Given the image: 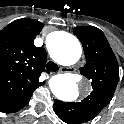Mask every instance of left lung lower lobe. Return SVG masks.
<instances>
[{
	"label": "left lung lower lobe",
	"instance_id": "left-lung-lower-lobe-1",
	"mask_svg": "<svg viewBox=\"0 0 124 124\" xmlns=\"http://www.w3.org/2000/svg\"><path fill=\"white\" fill-rule=\"evenodd\" d=\"M53 110L56 113V115L58 116V109H57L56 103H54V105H53Z\"/></svg>",
	"mask_w": 124,
	"mask_h": 124
}]
</instances>
